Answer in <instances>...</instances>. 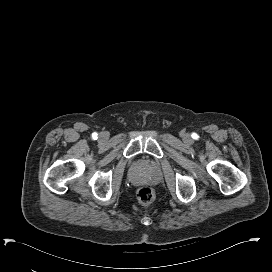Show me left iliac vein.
Wrapping results in <instances>:
<instances>
[{
  "label": "left iliac vein",
  "instance_id": "4c4485c4",
  "mask_svg": "<svg viewBox=\"0 0 272 272\" xmlns=\"http://www.w3.org/2000/svg\"><path fill=\"white\" fill-rule=\"evenodd\" d=\"M183 139H184V141L188 142V141H190V136L189 135H185V136H183Z\"/></svg>",
  "mask_w": 272,
  "mask_h": 272
}]
</instances>
